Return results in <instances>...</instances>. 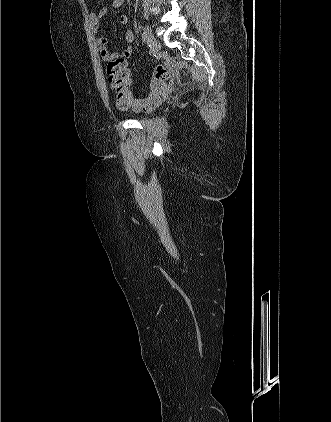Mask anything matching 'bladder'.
Here are the masks:
<instances>
[{"label": "bladder", "instance_id": "bladder-1", "mask_svg": "<svg viewBox=\"0 0 331 422\" xmlns=\"http://www.w3.org/2000/svg\"><path fill=\"white\" fill-rule=\"evenodd\" d=\"M155 108H156V107H154V108H152V109H150V110L145 111V112H144V115L150 114L151 112H153V111L155 110Z\"/></svg>", "mask_w": 331, "mask_h": 422}]
</instances>
